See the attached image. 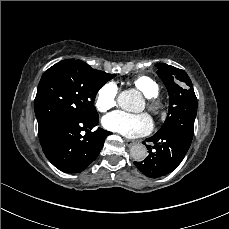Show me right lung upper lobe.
<instances>
[{"label":"right lung upper lobe","instance_id":"1","mask_svg":"<svg viewBox=\"0 0 229 229\" xmlns=\"http://www.w3.org/2000/svg\"><path fill=\"white\" fill-rule=\"evenodd\" d=\"M102 72V74L104 75V77H105V79L108 81V80H110V79H112L111 77L113 76L112 74H109V73H105V72H103V71H101Z\"/></svg>","mask_w":229,"mask_h":229}]
</instances>
